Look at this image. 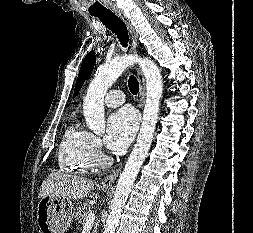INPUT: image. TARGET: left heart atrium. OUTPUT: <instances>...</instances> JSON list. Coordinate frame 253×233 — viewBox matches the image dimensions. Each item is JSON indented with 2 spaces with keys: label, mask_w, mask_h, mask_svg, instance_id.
<instances>
[{
  "label": "left heart atrium",
  "mask_w": 253,
  "mask_h": 233,
  "mask_svg": "<svg viewBox=\"0 0 253 233\" xmlns=\"http://www.w3.org/2000/svg\"><path fill=\"white\" fill-rule=\"evenodd\" d=\"M138 126V117L130 108H122L110 115L104 137L106 146L113 151L125 149L132 141Z\"/></svg>",
  "instance_id": "left-heart-atrium-1"
}]
</instances>
